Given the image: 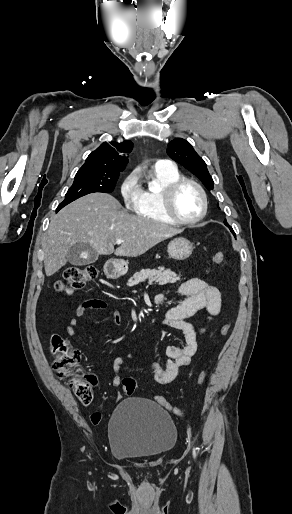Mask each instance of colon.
Instances as JSON below:
<instances>
[{"mask_svg": "<svg viewBox=\"0 0 292 514\" xmlns=\"http://www.w3.org/2000/svg\"><path fill=\"white\" fill-rule=\"evenodd\" d=\"M213 263L216 266H222L226 263V257L223 251H216L212 257ZM97 276V269L94 266H81L68 268L63 276V279L56 283V291L61 295H69L74 291L87 286ZM230 331V324L225 323L219 328V336L224 338ZM50 351L53 356V370L55 374L62 379H69V385L73 390L78 401L82 405H89L92 403L94 395L92 384L94 377L88 374H83L75 377V374L82 364V354L78 349L70 347L68 341L60 336L54 335L50 340ZM206 378V372L202 371L198 378V384L202 385ZM137 388V383L134 378H125L122 381V390L127 396H132ZM156 401L162 407L173 410L170 403L162 396H157ZM101 415L99 412H93L90 415V420L96 423L100 420Z\"/></svg>", "mask_w": 292, "mask_h": 514, "instance_id": "obj_1", "label": "colon"}]
</instances>
